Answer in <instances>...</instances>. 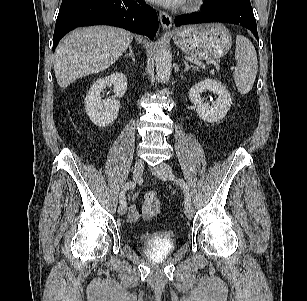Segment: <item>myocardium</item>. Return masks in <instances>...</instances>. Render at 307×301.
<instances>
[{
  "label": "myocardium",
  "mask_w": 307,
  "mask_h": 301,
  "mask_svg": "<svg viewBox=\"0 0 307 301\" xmlns=\"http://www.w3.org/2000/svg\"><path fill=\"white\" fill-rule=\"evenodd\" d=\"M205 0H183L182 10L195 11L202 7Z\"/></svg>",
  "instance_id": "f54148a6"
}]
</instances>
